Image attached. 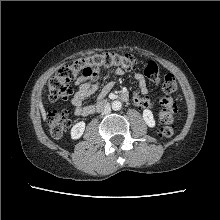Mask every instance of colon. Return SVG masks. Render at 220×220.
Instances as JSON below:
<instances>
[{
  "mask_svg": "<svg viewBox=\"0 0 220 220\" xmlns=\"http://www.w3.org/2000/svg\"><path fill=\"white\" fill-rule=\"evenodd\" d=\"M138 65V59L131 54L106 52L78 58L68 65L60 67L48 84V99L52 103L66 100L72 95L71 84L81 74H89L91 71L101 68L118 67L128 71L134 70ZM144 74L152 82L160 80L159 66L154 61H148L144 67ZM163 96L160 98L161 110L159 121L161 122L160 136L171 137L175 132L174 117L177 105L173 94L178 90L176 78L172 74H164L161 78ZM50 133L53 137H61L70 124L69 113L64 109H53L48 117Z\"/></svg>",
  "mask_w": 220,
  "mask_h": 220,
  "instance_id": "1",
  "label": "colon"
}]
</instances>
